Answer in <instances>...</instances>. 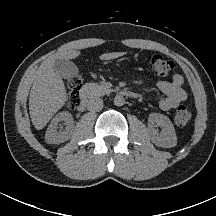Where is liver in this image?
I'll use <instances>...</instances> for the list:
<instances>
[{
    "label": "liver",
    "mask_w": 216,
    "mask_h": 216,
    "mask_svg": "<svg viewBox=\"0 0 216 216\" xmlns=\"http://www.w3.org/2000/svg\"><path fill=\"white\" fill-rule=\"evenodd\" d=\"M124 54L125 52L104 53L99 58L101 60H111ZM79 55L80 51L77 50L66 51L46 59L38 68L29 96L30 117L37 130L44 128L67 101L64 82L54 70L55 60L74 59Z\"/></svg>",
    "instance_id": "1"
}]
</instances>
